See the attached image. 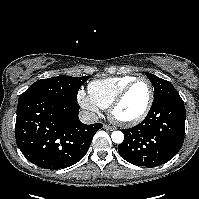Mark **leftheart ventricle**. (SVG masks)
<instances>
[{"label":"left heart ventricle","instance_id":"b2bd125f","mask_svg":"<svg viewBox=\"0 0 199 199\" xmlns=\"http://www.w3.org/2000/svg\"><path fill=\"white\" fill-rule=\"evenodd\" d=\"M149 85L145 81L137 82L118 106L115 115L120 119L135 118L144 110L149 98Z\"/></svg>","mask_w":199,"mask_h":199}]
</instances>
